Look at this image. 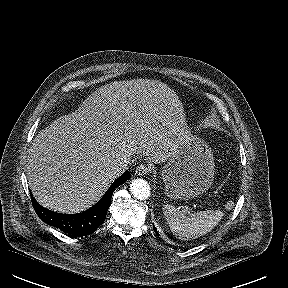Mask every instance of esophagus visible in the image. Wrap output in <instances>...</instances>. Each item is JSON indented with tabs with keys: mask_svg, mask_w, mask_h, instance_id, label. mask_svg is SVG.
Wrapping results in <instances>:
<instances>
[{
	"mask_svg": "<svg viewBox=\"0 0 288 288\" xmlns=\"http://www.w3.org/2000/svg\"><path fill=\"white\" fill-rule=\"evenodd\" d=\"M150 171L151 168L149 167V165L141 164L136 168L135 174H137L138 176H144L148 174Z\"/></svg>",
	"mask_w": 288,
	"mask_h": 288,
	"instance_id": "obj_1",
	"label": "esophagus"
}]
</instances>
